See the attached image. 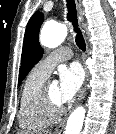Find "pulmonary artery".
Segmentation results:
<instances>
[{"instance_id":"pulmonary-artery-1","label":"pulmonary artery","mask_w":116,"mask_h":134,"mask_svg":"<svg viewBox=\"0 0 116 134\" xmlns=\"http://www.w3.org/2000/svg\"><path fill=\"white\" fill-rule=\"evenodd\" d=\"M73 52L68 47H61L43 60H41L37 65L36 68L43 74L49 75L52 69L60 62L69 60L72 58Z\"/></svg>"}]
</instances>
